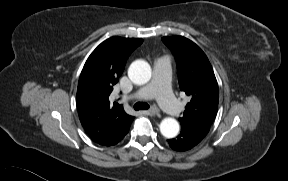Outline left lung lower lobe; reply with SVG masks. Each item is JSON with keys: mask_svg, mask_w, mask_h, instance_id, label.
Returning <instances> with one entry per match:
<instances>
[{"mask_svg": "<svg viewBox=\"0 0 288 181\" xmlns=\"http://www.w3.org/2000/svg\"><path fill=\"white\" fill-rule=\"evenodd\" d=\"M209 129L181 125V133L177 138L169 139L168 143L172 149L186 151L196 146L207 135Z\"/></svg>", "mask_w": 288, "mask_h": 181, "instance_id": "0a47b994", "label": "left lung lower lobe"}]
</instances>
